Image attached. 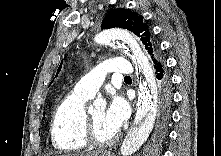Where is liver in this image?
I'll return each mask as SVG.
<instances>
[{
  "instance_id": "liver-1",
  "label": "liver",
  "mask_w": 221,
  "mask_h": 156,
  "mask_svg": "<svg viewBox=\"0 0 221 156\" xmlns=\"http://www.w3.org/2000/svg\"><path fill=\"white\" fill-rule=\"evenodd\" d=\"M99 152H91V153H80V154H74V155H68V156H98Z\"/></svg>"
}]
</instances>
